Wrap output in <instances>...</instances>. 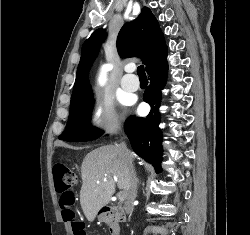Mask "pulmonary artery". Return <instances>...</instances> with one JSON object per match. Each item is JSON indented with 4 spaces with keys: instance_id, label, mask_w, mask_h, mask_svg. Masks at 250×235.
<instances>
[{
    "instance_id": "pulmonary-artery-1",
    "label": "pulmonary artery",
    "mask_w": 250,
    "mask_h": 235,
    "mask_svg": "<svg viewBox=\"0 0 250 235\" xmlns=\"http://www.w3.org/2000/svg\"><path fill=\"white\" fill-rule=\"evenodd\" d=\"M131 68H127V74L123 77L121 81V86L124 90L128 92H134L139 88V80L134 77L131 73Z\"/></svg>"
}]
</instances>
